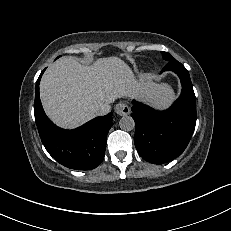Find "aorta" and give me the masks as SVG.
I'll list each match as a JSON object with an SVG mask.
<instances>
[{"label":"aorta","mask_w":231,"mask_h":231,"mask_svg":"<svg viewBox=\"0 0 231 231\" xmlns=\"http://www.w3.org/2000/svg\"><path fill=\"white\" fill-rule=\"evenodd\" d=\"M120 128L125 131H131L135 128L134 119L131 116H124L119 122Z\"/></svg>","instance_id":"aorta-1"}]
</instances>
